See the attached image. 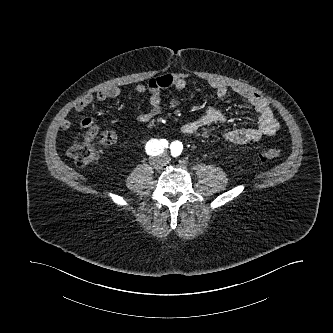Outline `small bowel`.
<instances>
[{
	"label": "small bowel",
	"instance_id": "obj_1",
	"mask_svg": "<svg viewBox=\"0 0 333 333\" xmlns=\"http://www.w3.org/2000/svg\"><path fill=\"white\" fill-rule=\"evenodd\" d=\"M187 81L183 74L167 73L149 80L145 84H137L135 92L139 95H149V108L145 112L138 115L137 119L141 123L149 122L152 118L160 114L161 93L163 90L174 88L183 90L186 87ZM209 85L215 91L218 99H223L228 93V87L220 82H210ZM234 92L245 99L252 109L256 112L258 121L256 128H237L229 131L224 136V142L227 144L244 145L250 142L259 141L263 136H273L280 128L279 122L275 118L272 109L267 101L259 94L251 92L247 89L237 87ZM121 95V90L118 87H109L102 89L93 95H85L80 98L71 108L74 113H80L90 106L94 100L104 102L108 99H114ZM170 105L175 107L177 101L172 99ZM225 121V115L221 110L212 108L204 112L197 118L191 119L181 126V132L184 134H193L201 132L209 134L214 132ZM80 127L87 129V133L97 129V123L92 117H84L80 120ZM62 129H68L71 126V120L64 117L60 121Z\"/></svg>",
	"mask_w": 333,
	"mask_h": 333
}]
</instances>
